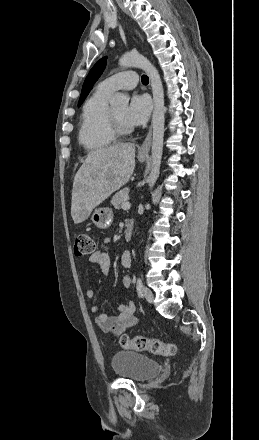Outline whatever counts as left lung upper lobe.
<instances>
[{"label": "left lung upper lobe", "instance_id": "5c2ea615", "mask_svg": "<svg viewBox=\"0 0 259 440\" xmlns=\"http://www.w3.org/2000/svg\"><path fill=\"white\" fill-rule=\"evenodd\" d=\"M106 67V57L100 59L94 67L90 70L88 76L85 79V82L83 84L81 96L78 102V106H80L87 95L89 94L92 86L94 83L98 80V78L101 76L102 72L104 71Z\"/></svg>", "mask_w": 259, "mask_h": 440}]
</instances>
